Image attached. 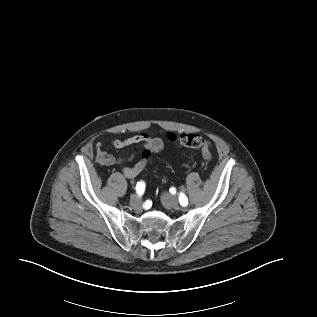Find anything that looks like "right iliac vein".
<instances>
[{
    "label": "right iliac vein",
    "mask_w": 317,
    "mask_h": 317,
    "mask_svg": "<svg viewBox=\"0 0 317 317\" xmlns=\"http://www.w3.org/2000/svg\"><path fill=\"white\" fill-rule=\"evenodd\" d=\"M130 201L132 204H139L141 202V197L137 194H133L130 197Z\"/></svg>",
    "instance_id": "63e3f726"
}]
</instances>
